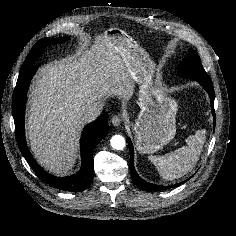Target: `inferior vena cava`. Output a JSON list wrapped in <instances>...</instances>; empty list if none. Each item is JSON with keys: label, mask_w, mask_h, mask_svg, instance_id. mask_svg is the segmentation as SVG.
<instances>
[{"label": "inferior vena cava", "mask_w": 236, "mask_h": 236, "mask_svg": "<svg viewBox=\"0 0 236 236\" xmlns=\"http://www.w3.org/2000/svg\"><path fill=\"white\" fill-rule=\"evenodd\" d=\"M103 109L102 102H93L85 106L82 110V120L85 123H89L94 121L96 118L99 117Z\"/></svg>", "instance_id": "inferior-vena-cava-1"}]
</instances>
